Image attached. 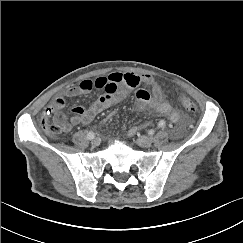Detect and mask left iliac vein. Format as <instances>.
<instances>
[{
  "label": "left iliac vein",
  "instance_id": "4c4485c4",
  "mask_svg": "<svg viewBox=\"0 0 243 243\" xmlns=\"http://www.w3.org/2000/svg\"><path fill=\"white\" fill-rule=\"evenodd\" d=\"M152 143V139L147 136H140L137 138V144L141 147H150Z\"/></svg>",
  "mask_w": 243,
  "mask_h": 243
}]
</instances>
